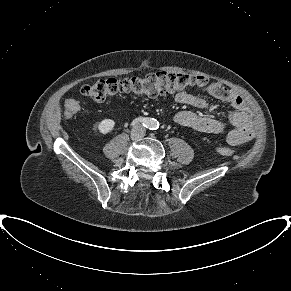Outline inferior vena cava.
<instances>
[{
	"label": "inferior vena cava",
	"mask_w": 291,
	"mask_h": 291,
	"mask_svg": "<svg viewBox=\"0 0 291 291\" xmlns=\"http://www.w3.org/2000/svg\"><path fill=\"white\" fill-rule=\"evenodd\" d=\"M131 134L134 138H142L145 136V128L142 125H137L134 127Z\"/></svg>",
	"instance_id": "602c4592"
}]
</instances>
